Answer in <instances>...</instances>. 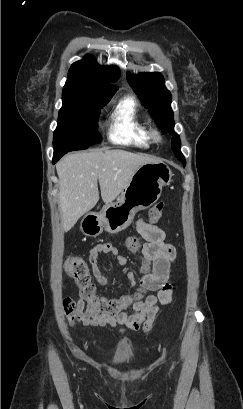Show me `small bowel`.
Here are the masks:
<instances>
[{
  "label": "small bowel",
  "instance_id": "obj_1",
  "mask_svg": "<svg viewBox=\"0 0 243 409\" xmlns=\"http://www.w3.org/2000/svg\"><path fill=\"white\" fill-rule=\"evenodd\" d=\"M137 232L144 242L139 252V258L142 260L141 275L136 279L134 272L130 271L128 278L132 286L138 285L142 290L156 294H149L138 302H130L128 306L133 310L131 313L122 311L116 314L92 309L89 306L85 308L84 299L80 295L77 300V310L85 327H115L119 332L141 330L146 334L152 329L159 306L172 302L173 286L169 282V277L170 265L175 259L176 249L165 241L164 230L156 225L139 220ZM102 255L114 256L122 265L126 263V258L111 243L98 244L88 252L86 257L96 281L105 285L109 283L110 277L103 274L100 269L99 260Z\"/></svg>",
  "mask_w": 243,
  "mask_h": 409
}]
</instances>
